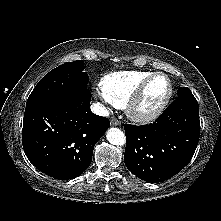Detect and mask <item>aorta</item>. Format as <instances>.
<instances>
[{
    "mask_svg": "<svg viewBox=\"0 0 221 221\" xmlns=\"http://www.w3.org/2000/svg\"><path fill=\"white\" fill-rule=\"evenodd\" d=\"M106 138L112 145L122 146L126 143L125 134L118 128H109Z\"/></svg>",
    "mask_w": 221,
    "mask_h": 221,
    "instance_id": "aorta-1",
    "label": "aorta"
}]
</instances>
